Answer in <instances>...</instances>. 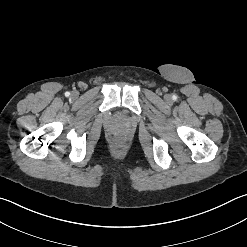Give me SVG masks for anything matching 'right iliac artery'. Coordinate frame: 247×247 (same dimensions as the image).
<instances>
[{
    "mask_svg": "<svg viewBox=\"0 0 247 247\" xmlns=\"http://www.w3.org/2000/svg\"><path fill=\"white\" fill-rule=\"evenodd\" d=\"M65 96H67V97L70 96V92H66Z\"/></svg>",
    "mask_w": 247,
    "mask_h": 247,
    "instance_id": "obj_1",
    "label": "right iliac artery"
}]
</instances>
